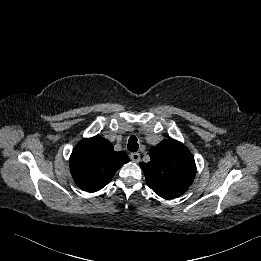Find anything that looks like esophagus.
<instances>
[{"label":"esophagus","mask_w":261,"mask_h":261,"mask_svg":"<svg viewBox=\"0 0 261 261\" xmlns=\"http://www.w3.org/2000/svg\"><path fill=\"white\" fill-rule=\"evenodd\" d=\"M130 159L133 161V162H139L140 161V154L139 153H131L130 154Z\"/></svg>","instance_id":"34e87169"}]
</instances>
